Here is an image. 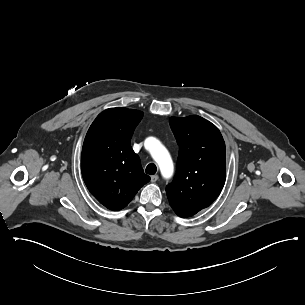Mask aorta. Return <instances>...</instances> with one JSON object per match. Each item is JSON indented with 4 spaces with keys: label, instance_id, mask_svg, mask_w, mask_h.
Segmentation results:
<instances>
[{
    "label": "aorta",
    "instance_id": "1",
    "mask_svg": "<svg viewBox=\"0 0 305 305\" xmlns=\"http://www.w3.org/2000/svg\"><path fill=\"white\" fill-rule=\"evenodd\" d=\"M145 146L157 162L162 176L166 179L170 178L173 175L174 166L167 149L156 138L146 139Z\"/></svg>",
    "mask_w": 305,
    "mask_h": 305
}]
</instances>
